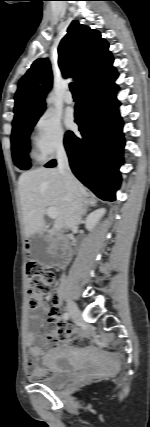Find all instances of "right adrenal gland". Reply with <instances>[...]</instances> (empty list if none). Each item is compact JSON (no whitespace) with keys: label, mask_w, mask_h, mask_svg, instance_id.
Here are the masks:
<instances>
[{"label":"right adrenal gland","mask_w":150,"mask_h":427,"mask_svg":"<svg viewBox=\"0 0 150 427\" xmlns=\"http://www.w3.org/2000/svg\"><path fill=\"white\" fill-rule=\"evenodd\" d=\"M89 206H91V207L97 206V201L93 198L85 197L84 198V209H83V214H82L83 216L86 215L87 209Z\"/></svg>","instance_id":"obj_1"}]
</instances>
